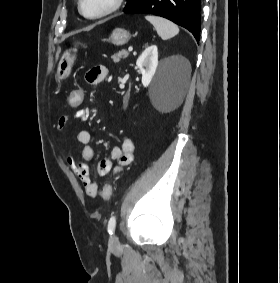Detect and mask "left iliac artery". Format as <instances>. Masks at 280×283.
Returning <instances> with one entry per match:
<instances>
[{
  "mask_svg": "<svg viewBox=\"0 0 280 283\" xmlns=\"http://www.w3.org/2000/svg\"><path fill=\"white\" fill-rule=\"evenodd\" d=\"M115 227H116V216H111L109 222H108V232L110 235L113 234V232L115 231Z\"/></svg>",
  "mask_w": 280,
  "mask_h": 283,
  "instance_id": "44dca946",
  "label": "left iliac artery"
}]
</instances>
